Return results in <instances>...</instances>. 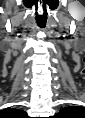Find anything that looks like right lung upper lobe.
Returning a JSON list of instances; mask_svg holds the SVG:
<instances>
[{"instance_id": "cb5924a9", "label": "right lung upper lobe", "mask_w": 85, "mask_h": 118, "mask_svg": "<svg viewBox=\"0 0 85 118\" xmlns=\"http://www.w3.org/2000/svg\"><path fill=\"white\" fill-rule=\"evenodd\" d=\"M8 111L11 112V113H19V114L23 113L22 110H18V109H14V108H9Z\"/></svg>"}]
</instances>
